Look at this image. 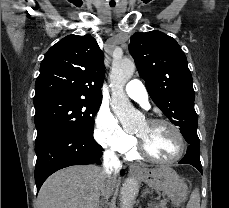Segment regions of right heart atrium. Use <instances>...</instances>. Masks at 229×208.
<instances>
[{
  "label": "right heart atrium",
  "mask_w": 229,
  "mask_h": 208,
  "mask_svg": "<svg viewBox=\"0 0 229 208\" xmlns=\"http://www.w3.org/2000/svg\"><path fill=\"white\" fill-rule=\"evenodd\" d=\"M93 136L101 147L120 154L133 153L137 148L136 138L126 133L106 109H100L95 117Z\"/></svg>",
  "instance_id": "1"
}]
</instances>
